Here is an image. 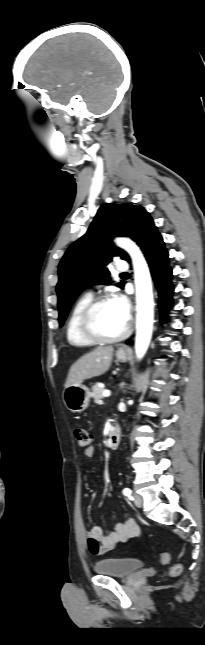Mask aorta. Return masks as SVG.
Returning <instances> with one entry per match:
<instances>
[{
	"mask_svg": "<svg viewBox=\"0 0 205 645\" xmlns=\"http://www.w3.org/2000/svg\"><path fill=\"white\" fill-rule=\"evenodd\" d=\"M116 243L129 253L133 262L137 302L135 352L137 358L141 359L148 349L153 330L154 302L150 271L134 242L120 238Z\"/></svg>",
	"mask_w": 205,
	"mask_h": 645,
	"instance_id": "1",
	"label": "aorta"
}]
</instances>
